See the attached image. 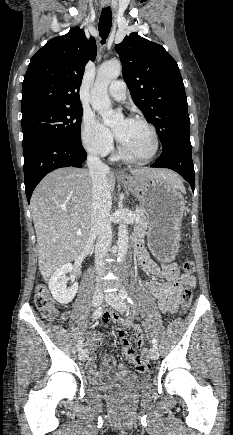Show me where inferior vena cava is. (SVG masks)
<instances>
[{
    "instance_id": "inferior-vena-cava-1",
    "label": "inferior vena cava",
    "mask_w": 233,
    "mask_h": 435,
    "mask_svg": "<svg viewBox=\"0 0 233 435\" xmlns=\"http://www.w3.org/2000/svg\"><path fill=\"white\" fill-rule=\"evenodd\" d=\"M87 165L92 181L90 235L98 236L95 247V264L97 273L102 275L104 272L102 259L108 252L112 241V227L109 220L112 197L106 178L109 167L93 154L88 155Z\"/></svg>"
}]
</instances>
